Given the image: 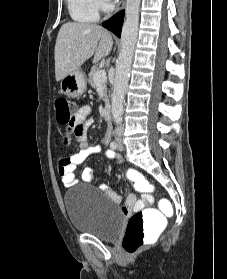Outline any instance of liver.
<instances>
[{
	"label": "liver",
	"instance_id": "6515ba94",
	"mask_svg": "<svg viewBox=\"0 0 227 279\" xmlns=\"http://www.w3.org/2000/svg\"><path fill=\"white\" fill-rule=\"evenodd\" d=\"M112 46V36L99 25L79 22L63 24L55 44L56 81L78 70L92 56L93 63H97L109 55Z\"/></svg>",
	"mask_w": 227,
	"mask_h": 279
}]
</instances>
